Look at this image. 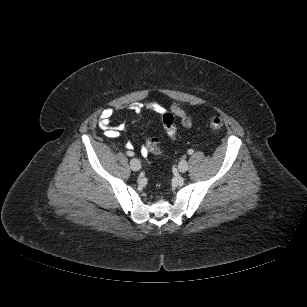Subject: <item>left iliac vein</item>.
<instances>
[{
    "instance_id": "obj_1",
    "label": "left iliac vein",
    "mask_w": 307,
    "mask_h": 307,
    "mask_svg": "<svg viewBox=\"0 0 307 307\" xmlns=\"http://www.w3.org/2000/svg\"><path fill=\"white\" fill-rule=\"evenodd\" d=\"M178 170L181 172V173H184L188 170V162L186 160H181L178 164Z\"/></svg>"
}]
</instances>
